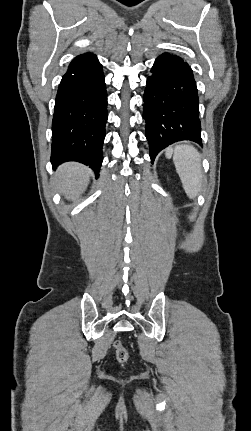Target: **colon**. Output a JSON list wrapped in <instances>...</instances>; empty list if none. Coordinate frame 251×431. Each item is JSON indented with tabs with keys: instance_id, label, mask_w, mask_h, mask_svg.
<instances>
[{
	"instance_id": "5ec220e1",
	"label": "colon",
	"mask_w": 251,
	"mask_h": 431,
	"mask_svg": "<svg viewBox=\"0 0 251 431\" xmlns=\"http://www.w3.org/2000/svg\"><path fill=\"white\" fill-rule=\"evenodd\" d=\"M116 359L120 363H125L129 359V352L120 341L114 343Z\"/></svg>"
}]
</instances>
